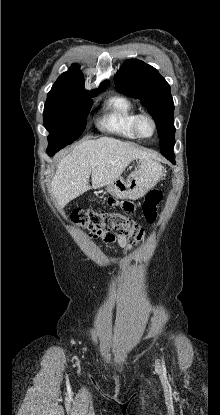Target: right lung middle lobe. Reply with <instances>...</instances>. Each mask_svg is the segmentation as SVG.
<instances>
[{
	"instance_id": "dd1d6c3e",
	"label": "right lung middle lobe",
	"mask_w": 220,
	"mask_h": 415,
	"mask_svg": "<svg viewBox=\"0 0 220 415\" xmlns=\"http://www.w3.org/2000/svg\"><path fill=\"white\" fill-rule=\"evenodd\" d=\"M99 92L48 93L43 112L44 126L49 131L47 150L59 151L79 138L86 127L87 114L92 104L91 97Z\"/></svg>"
}]
</instances>
